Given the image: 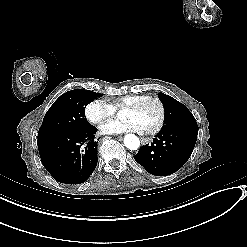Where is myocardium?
Wrapping results in <instances>:
<instances>
[{
  "instance_id": "1",
  "label": "myocardium",
  "mask_w": 247,
  "mask_h": 247,
  "mask_svg": "<svg viewBox=\"0 0 247 247\" xmlns=\"http://www.w3.org/2000/svg\"><path fill=\"white\" fill-rule=\"evenodd\" d=\"M146 101H155L158 103L160 107V116H159V122L157 126L153 130L146 132L148 135H156L162 130L165 124V121H166V114H167L166 105L159 96L144 95L134 100L130 105H127L126 107L127 109L138 110Z\"/></svg>"
}]
</instances>
